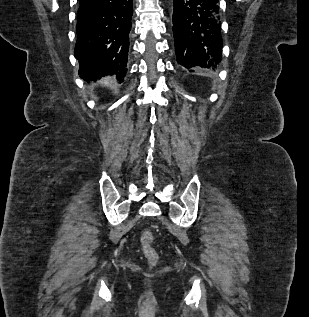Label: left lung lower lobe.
I'll return each instance as SVG.
<instances>
[{
  "label": "left lung lower lobe",
  "mask_w": 309,
  "mask_h": 317,
  "mask_svg": "<svg viewBox=\"0 0 309 317\" xmlns=\"http://www.w3.org/2000/svg\"><path fill=\"white\" fill-rule=\"evenodd\" d=\"M173 33L177 62L216 68L222 56L219 0H174Z\"/></svg>",
  "instance_id": "1"
}]
</instances>
